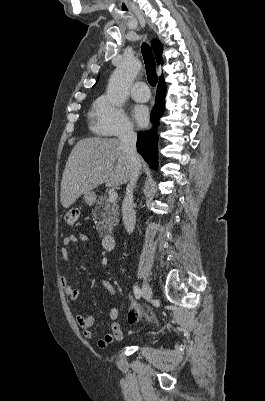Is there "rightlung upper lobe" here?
Returning a JSON list of instances; mask_svg holds the SVG:
<instances>
[{
	"label": "right lung upper lobe",
	"instance_id": "1",
	"mask_svg": "<svg viewBox=\"0 0 265 401\" xmlns=\"http://www.w3.org/2000/svg\"><path fill=\"white\" fill-rule=\"evenodd\" d=\"M152 48L156 57L157 64H161L163 47L157 39H154L152 41ZM161 82H164L163 76L160 77L159 83Z\"/></svg>",
	"mask_w": 265,
	"mask_h": 401
}]
</instances>
